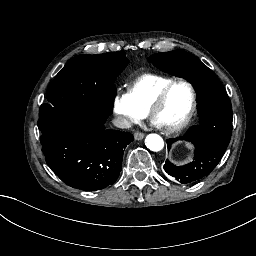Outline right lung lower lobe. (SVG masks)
<instances>
[{
    "label": "right lung lower lobe",
    "instance_id": "98d812e1",
    "mask_svg": "<svg viewBox=\"0 0 256 256\" xmlns=\"http://www.w3.org/2000/svg\"><path fill=\"white\" fill-rule=\"evenodd\" d=\"M105 120L87 115L46 123L40 142L46 162L67 185L86 191L113 184L121 171L130 133L105 129Z\"/></svg>",
    "mask_w": 256,
    "mask_h": 256
}]
</instances>
